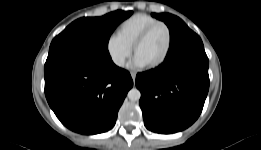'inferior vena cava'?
I'll return each mask as SVG.
<instances>
[{
	"instance_id": "602c4592",
	"label": "inferior vena cava",
	"mask_w": 261,
	"mask_h": 150,
	"mask_svg": "<svg viewBox=\"0 0 261 150\" xmlns=\"http://www.w3.org/2000/svg\"><path fill=\"white\" fill-rule=\"evenodd\" d=\"M118 66H124V59H118L115 61Z\"/></svg>"
}]
</instances>
